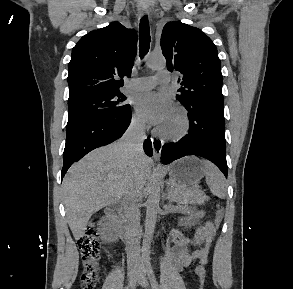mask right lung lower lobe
<instances>
[{"label": "right lung lower lobe", "mask_w": 293, "mask_h": 289, "mask_svg": "<svg viewBox=\"0 0 293 289\" xmlns=\"http://www.w3.org/2000/svg\"><path fill=\"white\" fill-rule=\"evenodd\" d=\"M131 121V109L120 113L83 122L66 130V145L63 152L61 177L69 167L91 150L112 143L120 138ZM144 150L148 156L153 155L152 143L144 141Z\"/></svg>", "instance_id": "obj_1"}]
</instances>
